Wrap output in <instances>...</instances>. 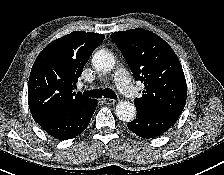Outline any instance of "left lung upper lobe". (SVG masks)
<instances>
[{
	"label": "left lung upper lobe",
	"instance_id": "5c2ea615",
	"mask_svg": "<svg viewBox=\"0 0 224 175\" xmlns=\"http://www.w3.org/2000/svg\"><path fill=\"white\" fill-rule=\"evenodd\" d=\"M135 80L144 83L136 109L179 117L186 104L187 86L182 66L172 48L159 36L137 28L111 35Z\"/></svg>",
	"mask_w": 224,
	"mask_h": 175
}]
</instances>
